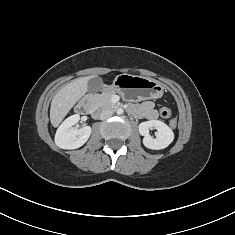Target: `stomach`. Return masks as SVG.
Wrapping results in <instances>:
<instances>
[{
  "label": "stomach",
  "mask_w": 235,
  "mask_h": 235,
  "mask_svg": "<svg viewBox=\"0 0 235 235\" xmlns=\"http://www.w3.org/2000/svg\"><path fill=\"white\" fill-rule=\"evenodd\" d=\"M107 89L120 94L127 101L139 102L162 97L164 86L152 78L124 73L116 76Z\"/></svg>",
  "instance_id": "1"
}]
</instances>
